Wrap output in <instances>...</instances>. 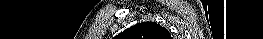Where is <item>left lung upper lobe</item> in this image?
I'll return each mask as SVG.
<instances>
[{
	"instance_id": "5c2ea615",
	"label": "left lung upper lobe",
	"mask_w": 263,
	"mask_h": 39,
	"mask_svg": "<svg viewBox=\"0 0 263 39\" xmlns=\"http://www.w3.org/2000/svg\"><path fill=\"white\" fill-rule=\"evenodd\" d=\"M118 39H173L168 30L156 22H142L119 34Z\"/></svg>"
}]
</instances>
